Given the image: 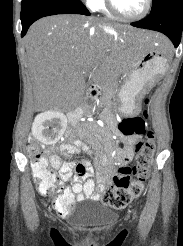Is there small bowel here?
<instances>
[{"label":"small bowel","mask_w":183,"mask_h":246,"mask_svg":"<svg viewBox=\"0 0 183 246\" xmlns=\"http://www.w3.org/2000/svg\"><path fill=\"white\" fill-rule=\"evenodd\" d=\"M114 134L120 136L124 148L117 150L114 144V135L111 130L83 131L82 137L94 148L95 161L97 166V180L94 178V169L91 162L83 159L80 163L73 161L62 162L58 152H64L66 156L83 152H91L87 143L82 140H74L72 144H61L56 148V153L50 155V163L56 169L62 180H71V189H64L60 194L69 198L72 203L81 202L87 199L99 200V192L103 191L106 180L113 174L114 170L110 163L118 166L126 165L134 156V146L141 140V134L124 135L114 129ZM76 171V173H72ZM98 190V192L96 191ZM44 195L48 192L40 191ZM71 208L58 211L61 216L66 217Z\"/></svg>","instance_id":"1"}]
</instances>
